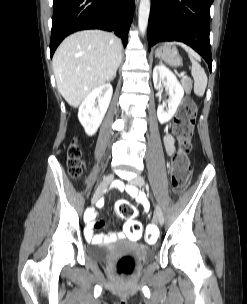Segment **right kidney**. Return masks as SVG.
I'll use <instances>...</instances> for the list:
<instances>
[{"instance_id":"obj_1","label":"right kidney","mask_w":247,"mask_h":304,"mask_svg":"<svg viewBox=\"0 0 247 304\" xmlns=\"http://www.w3.org/2000/svg\"><path fill=\"white\" fill-rule=\"evenodd\" d=\"M112 94V85L104 83L92 90L81 103L78 119L87 135L92 136L97 132L109 107Z\"/></svg>"}]
</instances>
